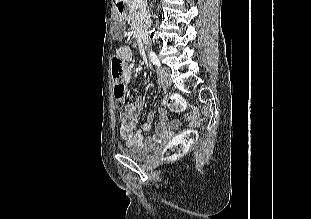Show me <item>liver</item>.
<instances>
[{"label":"liver","instance_id":"1","mask_svg":"<svg viewBox=\"0 0 311 219\" xmlns=\"http://www.w3.org/2000/svg\"><path fill=\"white\" fill-rule=\"evenodd\" d=\"M116 2H119V1H121V0H115Z\"/></svg>","mask_w":311,"mask_h":219}]
</instances>
